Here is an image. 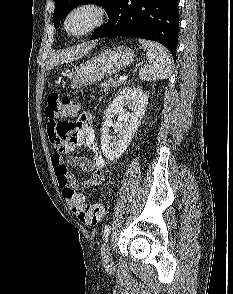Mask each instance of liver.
Segmentation results:
<instances>
[{
	"instance_id": "6515ba94",
	"label": "liver",
	"mask_w": 233,
	"mask_h": 294,
	"mask_svg": "<svg viewBox=\"0 0 233 294\" xmlns=\"http://www.w3.org/2000/svg\"><path fill=\"white\" fill-rule=\"evenodd\" d=\"M92 48H93V45L78 47L76 49H71V50L62 52L58 55H55L49 60L47 68L49 69L58 64H63V63L77 60L83 57L84 55H86Z\"/></svg>"
}]
</instances>
